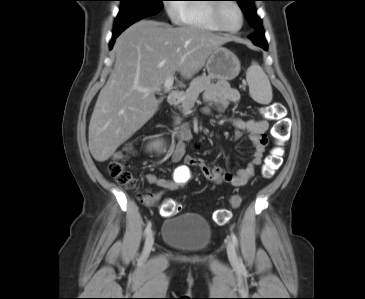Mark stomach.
<instances>
[{"label":"stomach","mask_w":365,"mask_h":299,"mask_svg":"<svg viewBox=\"0 0 365 299\" xmlns=\"http://www.w3.org/2000/svg\"><path fill=\"white\" fill-rule=\"evenodd\" d=\"M206 69L210 78L232 80L240 72V61L232 51L219 47L209 55Z\"/></svg>","instance_id":"obj_1"}]
</instances>
